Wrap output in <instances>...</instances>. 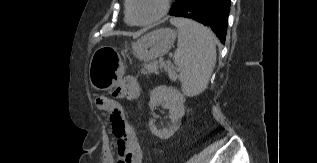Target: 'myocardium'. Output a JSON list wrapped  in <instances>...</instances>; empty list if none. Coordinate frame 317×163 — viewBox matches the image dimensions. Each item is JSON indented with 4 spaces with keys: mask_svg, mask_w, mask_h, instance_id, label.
<instances>
[{
    "mask_svg": "<svg viewBox=\"0 0 317 163\" xmlns=\"http://www.w3.org/2000/svg\"><path fill=\"white\" fill-rule=\"evenodd\" d=\"M126 1H127L126 12H127L128 18L132 24L138 25V26L152 25V24L158 22L159 20H161L169 12L170 2H171V0H162L161 10L155 17H153L149 20L139 21V20L135 19L133 14H132V0H126Z\"/></svg>",
    "mask_w": 317,
    "mask_h": 163,
    "instance_id": "f54148a6",
    "label": "myocardium"
}]
</instances>
